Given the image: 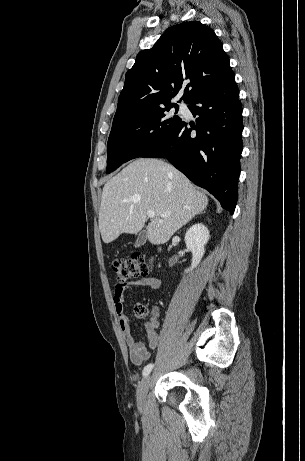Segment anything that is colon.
<instances>
[{
  "instance_id": "obj_1",
  "label": "colon",
  "mask_w": 305,
  "mask_h": 461,
  "mask_svg": "<svg viewBox=\"0 0 305 461\" xmlns=\"http://www.w3.org/2000/svg\"><path fill=\"white\" fill-rule=\"evenodd\" d=\"M153 261L146 259L141 254H134L130 258L115 259L112 269L121 282H127L138 277H146L151 271ZM135 313L138 316H146L147 308L142 304L135 305Z\"/></svg>"
}]
</instances>
